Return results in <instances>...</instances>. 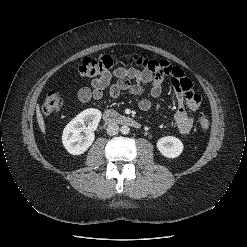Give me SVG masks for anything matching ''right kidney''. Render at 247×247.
Segmentation results:
<instances>
[{
    "label": "right kidney",
    "mask_w": 247,
    "mask_h": 247,
    "mask_svg": "<svg viewBox=\"0 0 247 247\" xmlns=\"http://www.w3.org/2000/svg\"><path fill=\"white\" fill-rule=\"evenodd\" d=\"M101 115L98 109H86L65 126L62 143L70 154H83L92 145Z\"/></svg>",
    "instance_id": "obj_1"
}]
</instances>
